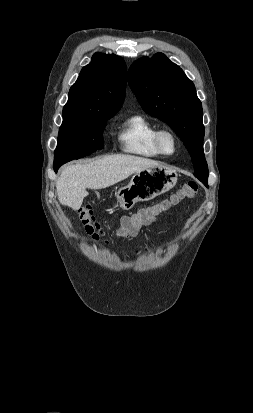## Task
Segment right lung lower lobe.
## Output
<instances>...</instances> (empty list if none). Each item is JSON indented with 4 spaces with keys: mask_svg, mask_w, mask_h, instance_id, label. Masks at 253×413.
I'll use <instances>...</instances> for the list:
<instances>
[{
    "mask_svg": "<svg viewBox=\"0 0 253 413\" xmlns=\"http://www.w3.org/2000/svg\"><path fill=\"white\" fill-rule=\"evenodd\" d=\"M60 166H61V165H59V164H58V165H54V171L57 172V170L59 169Z\"/></svg>",
    "mask_w": 253,
    "mask_h": 413,
    "instance_id": "98d812e1",
    "label": "right lung lower lobe"
}]
</instances>
